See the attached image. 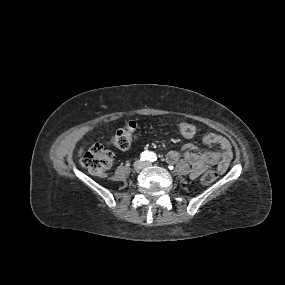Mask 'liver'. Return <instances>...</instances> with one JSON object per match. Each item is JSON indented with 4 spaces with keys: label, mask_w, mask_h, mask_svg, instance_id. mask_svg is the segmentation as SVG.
<instances>
[{
    "label": "liver",
    "mask_w": 285,
    "mask_h": 285,
    "mask_svg": "<svg viewBox=\"0 0 285 285\" xmlns=\"http://www.w3.org/2000/svg\"><path fill=\"white\" fill-rule=\"evenodd\" d=\"M82 152H83V148H80V150L78 152V156H81Z\"/></svg>",
    "instance_id": "obj_1"
}]
</instances>
